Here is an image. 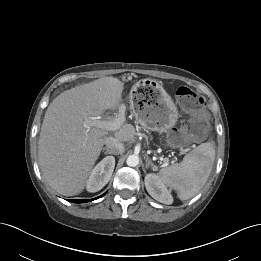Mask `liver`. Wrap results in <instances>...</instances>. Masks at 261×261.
Returning a JSON list of instances; mask_svg holds the SVG:
<instances>
[{
	"instance_id": "6515ba94",
	"label": "liver",
	"mask_w": 261,
	"mask_h": 261,
	"mask_svg": "<svg viewBox=\"0 0 261 261\" xmlns=\"http://www.w3.org/2000/svg\"><path fill=\"white\" fill-rule=\"evenodd\" d=\"M123 83L104 77L59 94L48 106L38 141L39 165L45 181L57 193L74 196L83 191L104 145L107 130L92 125L107 109H116ZM135 128L123 124L114 133L132 142Z\"/></svg>"
}]
</instances>
